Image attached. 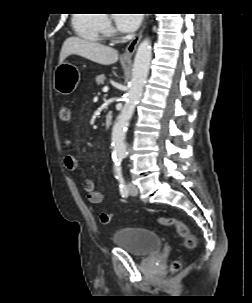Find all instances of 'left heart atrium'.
Here are the masks:
<instances>
[{
	"instance_id": "1",
	"label": "left heart atrium",
	"mask_w": 252,
	"mask_h": 303,
	"mask_svg": "<svg viewBox=\"0 0 252 303\" xmlns=\"http://www.w3.org/2000/svg\"><path fill=\"white\" fill-rule=\"evenodd\" d=\"M114 20L117 28L122 32H132L136 30L141 22L140 14H115Z\"/></svg>"
}]
</instances>
